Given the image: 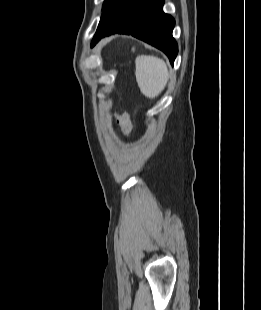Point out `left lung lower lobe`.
Here are the masks:
<instances>
[{"mask_svg": "<svg viewBox=\"0 0 261 310\" xmlns=\"http://www.w3.org/2000/svg\"><path fill=\"white\" fill-rule=\"evenodd\" d=\"M164 0H122L111 21L97 28L92 46L115 33L130 34L162 50L171 64L178 53L172 37L175 20L162 10Z\"/></svg>", "mask_w": 261, "mask_h": 310, "instance_id": "left-lung-lower-lobe-1", "label": "left lung lower lobe"}]
</instances>
